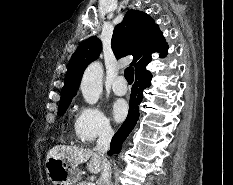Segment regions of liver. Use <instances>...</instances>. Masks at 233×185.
I'll list each match as a JSON object with an SVG mask.
<instances>
[{
	"label": "liver",
	"mask_w": 233,
	"mask_h": 185,
	"mask_svg": "<svg viewBox=\"0 0 233 185\" xmlns=\"http://www.w3.org/2000/svg\"><path fill=\"white\" fill-rule=\"evenodd\" d=\"M49 157L67 160L76 167L79 164L86 163L90 159L87 167L88 171L92 174L101 172L106 163L104 155L89 148H79L76 146L56 145L47 153V158Z\"/></svg>",
	"instance_id": "1"
}]
</instances>
